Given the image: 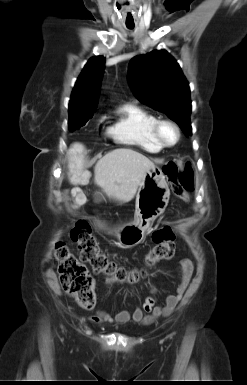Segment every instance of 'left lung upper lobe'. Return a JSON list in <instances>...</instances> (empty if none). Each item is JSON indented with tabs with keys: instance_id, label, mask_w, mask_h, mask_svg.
<instances>
[{
	"instance_id": "5c2ea615",
	"label": "left lung upper lobe",
	"mask_w": 247,
	"mask_h": 385,
	"mask_svg": "<svg viewBox=\"0 0 247 385\" xmlns=\"http://www.w3.org/2000/svg\"><path fill=\"white\" fill-rule=\"evenodd\" d=\"M128 82L142 103L165 112L186 136L192 134L190 88L169 53L152 51L134 57L129 65Z\"/></svg>"
}]
</instances>
